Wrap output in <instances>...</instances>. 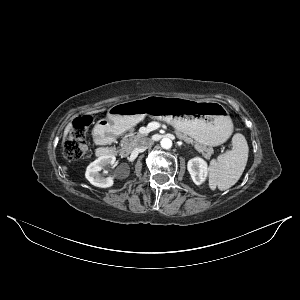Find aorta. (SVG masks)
<instances>
[{
  "instance_id": "obj_1",
  "label": "aorta",
  "mask_w": 300,
  "mask_h": 300,
  "mask_svg": "<svg viewBox=\"0 0 300 300\" xmlns=\"http://www.w3.org/2000/svg\"><path fill=\"white\" fill-rule=\"evenodd\" d=\"M160 145L163 149H170L172 147V140L165 137L160 141Z\"/></svg>"
}]
</instances>
